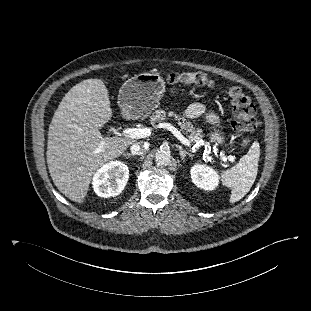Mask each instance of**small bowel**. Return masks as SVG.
I'll use <instances>...</instances> for the list:
<instances>
[{
  "label": "small bowel",
  "instance_id": "c3829d8e",
  "mask_svg": "<svg viewBox=\"0 0 311 311\" xmlns=\"http://www.w3.org/2000/svg\"><path fill=\"white\" fill-rule=\"evenodd\" d=\"M205 112V106L201 103H193L191 104L186 111L184 112V115L187 118L195 119L200 117Z\"/></svg>",
  "mask_w": 311,
  "mask_h": 311
}]
</instances>
